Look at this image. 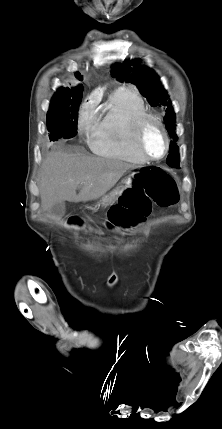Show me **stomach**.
I'll return each mask as SVG.
<instances>
[{"label":"stomach","mask_w":222,"mask_h":429,"mask_svg":"<svg viewBox=\"0 0 222 429\" xmlns=\"http://www.w3.org/2000/svg\"><path fill=\"white\" fill-rule=\"evenodd\" d=\"M136 172L130 173L128 176H126L120 185H118L113 191L110 193L103 195L96 203L97 208H106L109 205L116 202L121 196H122V190L128 189V186L131 185L132 181L137 180L135 177Z\"/></svg>","instance_id":"obj_1"}]
</instances>
